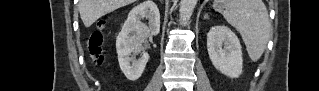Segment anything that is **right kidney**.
I'll return each mask as SVG.
<instances>
[{
  "instance_id": "ca27d5eb",
  "label": "right kidney",
  "mask_w": 319,
  "mask_h": 91,
  "mask_svg": "<svg viewBox=\"0 0 319 91\" xmlns=\"http://www.w3.org/2000/svg\"><path fill=\"white\" fill-rule=\"evenodd\" d=\"M148 19V26L141 19ZM160 31V13L152 0H146L135 6L128 14L127 20L116 39V50L120 68L127 79L137 80L143 73L149 55L143 52L136 60L131 53L144 50L142 43L149 35L156 36Z\"/></svg>"
}]
</instances>
